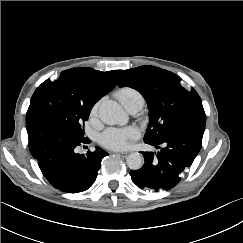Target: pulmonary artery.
Masks as SVG:
<instances>
[{"mask_svg":"<svg viewBox=\"0 0 243 243\" xmlns=\"http://www.w3.org/2000/svg\"><path fill=\"white\" fill-rule=\"evenodd\" d=\"M140 109V106L139 105H132L130 106L127 110L130 112V113H136L138 110Z\"/></svg>","mask_w":243,"mask_h":243,"instance_id":"e3ab8cb5","label":"pulmonary artery"}]
</instances>
